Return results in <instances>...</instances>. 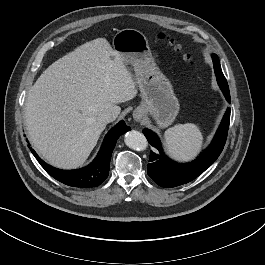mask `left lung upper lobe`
<instances>
[{
  "instance_id": "1",
  "label": "left lung upper lobe",
  "mask_w": 265,
  "mask_h": 265,
  "mask_svg": "<svg viewBox=\"0 0 265 265\" xmlns=\"http://www.w3.org/2000/svg\"><path fill=\"white\" fill-rule=\"evenodd\" d=\"M213 60H214L215 62H216V61L219 62L218 57H217L215 54L213 55ZM219 71H220L221 79L223 80V84L226 86V88H228V84H227V81H226V79H225V77H224V75H223V72H222V70H221V67H219Z\"/></svg>"
}]
</instances>
